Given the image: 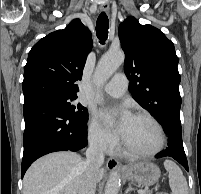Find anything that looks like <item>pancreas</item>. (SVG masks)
Returning a JSON list of instances; mask_svg holds the SVG:
<instances>
[{
	"label": "pancreas",
	"mask_w": 201,
	"mask_h": 194,
	"mask_svg": "<svg viewBox=\"0 0 201 194\" xmlns=\"http://www.w3.org/2000/svg\"><path fill=\"white\" fill-rule=\"evenodd\" d=\"M145 194H152V192H150V191H145Z\"/></svg>",
	"instance_id": "pancreas-1"
}]
</instances>
